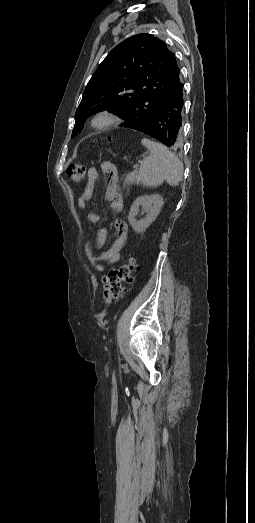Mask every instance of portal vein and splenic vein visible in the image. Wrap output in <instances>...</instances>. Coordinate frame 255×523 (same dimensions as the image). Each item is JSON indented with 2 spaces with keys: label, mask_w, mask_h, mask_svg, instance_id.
Segmentation results:
<instances>
[{
  "label": "portal vein and splenic vein",
  "mask_w": 255,
  "mask_h": 523,
  "mask_svg": "<svg viewBox=\"0 0 255 523\" xmlns=\"http://www.w3.org/2000/svg\"><path fill=\"white\" fill-rule=\"evenodd\" d=\"M132 172H133L134 174H137V173L139 172L138 164H136V166H133Z\"/></svg>",
  "instance_id": "portal-vein-and-splenic-vein-1"
}]
</instances>
